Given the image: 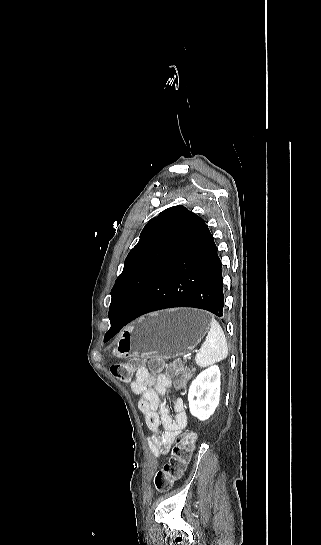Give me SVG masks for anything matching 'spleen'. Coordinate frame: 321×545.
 I'll return each mask as SVG.
<instances>
[{"label":"spleen","instance_id":"obj_1","mask_svg":"<svg viewBox=\"0 0 321 545\" xmlns=\"http://www.w3.org/2000/svg\"><path fill=\"white\" fill-rule=\"evenodd\" d=\"M209 333L197 353L195 361L198 367H210L215 363H220L228 355V345L223 329L215 319H211Z\"/></svg>","mask_w":321,"mask_h":545}]
</instances>
